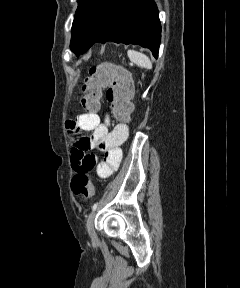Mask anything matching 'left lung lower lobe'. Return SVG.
Returning <instances> with one entry per match:
<instances>
[{"mask_svg": "<svg viewBox=\"0 0 240 288\" xmlns=\"http://www.w3.org/2000/svg\"><path fill=\"white\" fill-rule=\"evenodd\" d=\"M161 38L159 13L153 0H109L105 11L82 48L113 41L149 48L157 57Z\"/></svg>", "mask_w": 240, "mask_h": 288, "instance_id": "1", "label": "left lung lower lobe"}]
</instances>
